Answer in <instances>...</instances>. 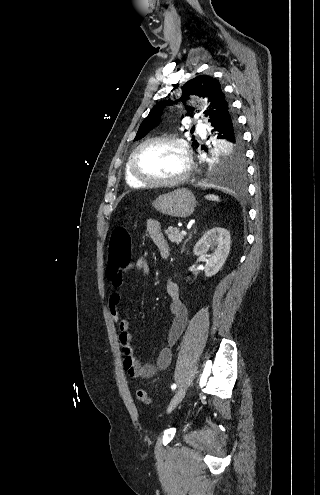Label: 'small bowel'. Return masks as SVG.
<instances>
[{
  "label": "small bowel",
  "instance_id": "c3829d8e",
  "mask_svg": "<svg viewBox=\"0 0 320 495\" xmlns=\"http://www.w3.org/2000/svg\"><path fill=\"white\" fill-rule=\"evenodd\" d=\"M146 230L161 251L168 249L167 242L161 231L160 223L155 219L146 221ZM137 270L143 275H149L150 265L147 259L139 258L134 264L128 265L123 269L124 272ZM108 278L113 287H120L123 284V275L121 272L108 273ZM166 291L171 298L170 313L171 324L167 332L166 345L159 351L155 363L141 364L134 354L133 336L130 332V322L121 319L119 315V304L121 295L114 291L110 294L108 308L110 315L118 325V341L124 353V368L133 378L149 379L154 377L158 371L169 367L172 360V347L185 330L188 320V310L185 302L179 296L177 284L170 278L166 281Z\"/></svg>",
  "mask_w": 320,
  "mask_h": 495
}]
</instances>
